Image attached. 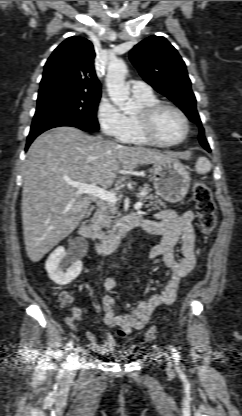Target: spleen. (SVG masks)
<instances>
[{
  "mask_svg": "<svg viewBox=\"0 0 242 416\" xmlns=\"http://www.w3.org/2000/svg\"><path fill=\"white\" fill-rule=\"evenodd\" d=\"M195 168L199 174H205L211 170L212 164L206 157H200L196 162Z\"/></svg>",
  "mask_w": 242,
  "mask_h": 416,
  "instance_id": "obj_1",
  "label": "spleen"
}]
</instances>
